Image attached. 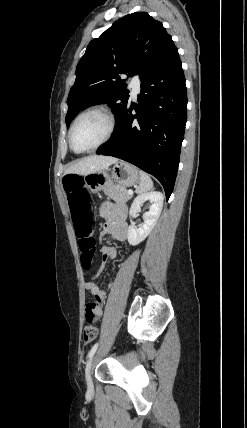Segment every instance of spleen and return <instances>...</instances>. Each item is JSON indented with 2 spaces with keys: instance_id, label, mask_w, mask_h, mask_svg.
I'll use <instances>...</instances> for the list:
<instances>
[{
  "instance_id": "1",
  "label": "spleen",
  "mask_w": 247,
  "mask_h": 428,
  "mask_svg": "<svg viewBox=\"0 0 247 428\" xmlns=\"http://www.w3.org/2000/svg\"><path fill=\"white\" fill-rule=\"evenodd\" d=\"M153 188V182L148 174L143 171H140V183L136 189L137 193H143L151 190Z\"/></svg>"
}]
</instances>
